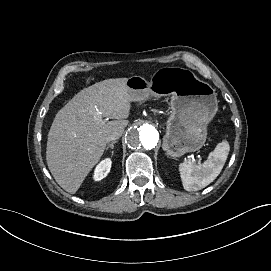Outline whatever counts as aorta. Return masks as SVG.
Instances as JSON below:
<instances>
[{
    "mask_svg": "<svg viewBox=\"0 0 271 271\" xmlns=\"http://www.w3.org/2000/svg\"><path fill=\"white\" fill-rule=\"evenodd\" d=\"M129 148L137 151H148L156 147L159 133L147 120H137L128 129L125 136Z\"/></svg>",
    "mask_w": 271,
    "mask_h": 271,
    "instance_id": "1",
    "label": "aorta"
}]
</instances>
